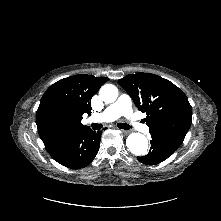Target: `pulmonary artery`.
<instances>
[{
    "mask_svg": "<svg viewBox=\"0 0 221 221\" xmlns=\"http://www.w3.org/2000/svg\"><path fill=\"white\" fill-rule=\"evenodd\" d=\"M132 110V100L130 96L123 94L116 102L108 106L103 112L97 115L99 121L110 122L121 116L130 117ZM132 125L140 128V124L136 119L129 118Z\"/></svg>",
    "mask_w": 221,
    "mask_h": 221,
    "instance_id": "obj_1",
    "label": "pulmonary artery"
}]
</instances>
